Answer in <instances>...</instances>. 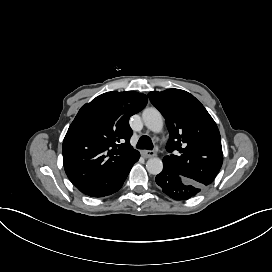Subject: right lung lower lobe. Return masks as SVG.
<instances>
[{"label": "right lung lower lobe", "instance_id": "right-lung-lower-lobe-1", "mask_svg": "<svg viewBox=\"0 0 272 272\" xmlns=\"http://www.w3.org/2000/svg\"><path fill=\"white\" fill-rule=\"evenodd\" d=\"M140 154L132 158L128 163L110 174L76 186L82 193L90 197H104L117 192L127 178L133 164L138 161Z\"/></svg>", "mask_w": 272, "mask_h": 272}]
</instances>
